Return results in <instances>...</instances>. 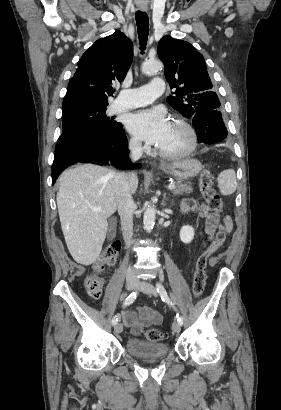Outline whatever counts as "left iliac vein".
<instances>
[{"instance_id": "1", "label": "left iliac vein", "mask_w": 281, "mask_h": 410, "mask_svg": "<svg viewBox=\"0 0 281 410\" xmlns=\"http://www.w3.org/2000/svg\"><path fill=\"white\" fill-rule=\"evenodd\" d=\"M137 290L146 293L151 296H157V291L156 288L150 283V282H145V281H139L137 283ZM172 329L175 333H179L181 330V325L178 321H175L172 324Z\"/></svg>"}]
</instances>
